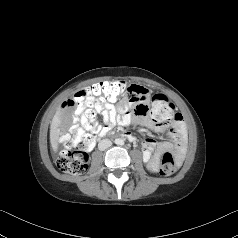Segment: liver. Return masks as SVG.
Masks as SVG:
<instances>
[{"label":"liver","mask_w":238,"mask_h":238,"mask_svg":"<svg viewBox=\"0 0 238 238\" xmlns=\"http://www.w3.org/2000/svg\"><path fill=\"white\" fill-rule=\"evenodd\" d=\"M60 111H61V108L59 107L55 115L54 121L52 123L51 132H50L51 146L54 151H57L58 149L57 117L59 116Z\"/></svg>","instance_id":"obj_1"}]
</instances>
